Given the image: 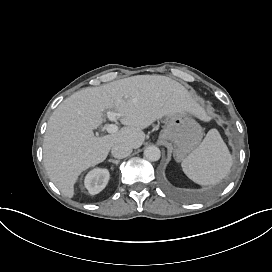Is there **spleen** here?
<instances>
[{"label":"spleen","mask_w":272,"mask_h":272,"mask_svg":"<svg viewBox=\"0 0 272 272\" xmlns=\"http://www.w3.org/2000/svg\"><path fill=\"white\" fill-rule=\"evenodd\" d=\"M232 156L217 129L208 131L202 143L181 163L186 176L199 185L218 184L230 173Z\"/></svg>","instance_id":"spleen-1"}]
</instances>
